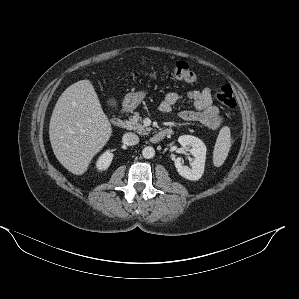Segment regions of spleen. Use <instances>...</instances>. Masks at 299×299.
<instances>
[{
  "label": "spleen",
  "instance_id": "obj_1",
  "mask_svg": "<svg viewBox=\"0 0 299 299\" xmlns=\"http://www.w3.org/2000/svg\"><path fill=\"white\" fill-rule=\"evenodd\" d=\"M231 147V133L228 126L220 129L213 151V164L220 167L226 160Z\"/></svg>",
  "mask_w": 299,
  "mask_h": 299
}]
</instances>
